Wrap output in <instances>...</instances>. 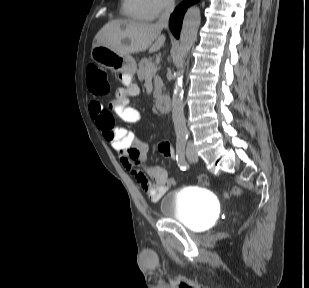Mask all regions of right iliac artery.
I'll list each match as a JSON object with an SVG mask.
<instances>
[{
  "label": "right iliac artery",
  "instance_id": "obj_1",
  "mask_svg": "<svg viewBox=\"0 0 309 288\" xmlns=\"http://www.w3.org/2000/svg\"><path fill=\"white\" fill-rule=\"evenodd\" d=\"M185 146H186V139L184 138H180L177 140V145H176V149H177V154H176V159L179 162V166L180 169L182 171H185L188 167V164L185 160Z\"/></svg>",
  "mask_w": 309,
  "mask_h": 288
}]
</instances>
